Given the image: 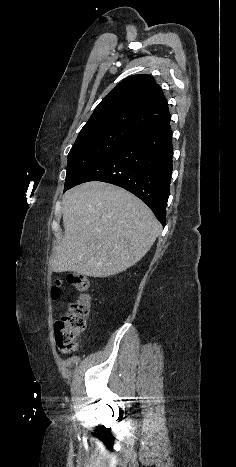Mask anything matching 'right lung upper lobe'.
Instances as JSON below:
<instances>
[{"label":"right lung upper lobe","mask_w":236,"mask_h":467,"mask_svg":"<svg viewBox=\"0 0 236 467\" xmlns=\"http://www.w3.org/2000/svg\"><path fill=\"white\" fill-rule=\"evenodd\" d=\"M170 117L160 86L150 75H133L122 80L95 108L81 131L118 125L140 132Z\"/></svg>","instance_id":"right-lung-upper-lobe-1"}]
</instances>
